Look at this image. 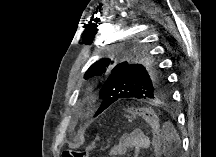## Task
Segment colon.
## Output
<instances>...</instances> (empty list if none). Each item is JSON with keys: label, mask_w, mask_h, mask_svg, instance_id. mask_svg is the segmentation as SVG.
Returning <instances> with one entry per match:
<instances>
[{"label": "colon", "mask_w": 216, "mask_h": 157, "mask_svg": "<svg viewBox=\"0 0 216 157\" xmlns=\"http://www.w3.org/2000/svg\"><path fill=\"white\" fill-rule=\"evenodd\" d=\"M125 116L129 120L143 121L150 127L154 134L159 130V119L152 109H130L126 112ZM93 148L94 143L83 150L65 149L62 155L63 157H88Z\"/></svg>", "instance_id": "obj_1"}]
</instances>
